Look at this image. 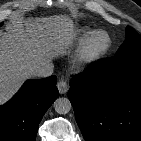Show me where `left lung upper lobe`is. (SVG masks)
<instances>
[{"label":"left lung upper lobe","instance_id":"5c2ea615","mask_svg":"<svg viewBox=\"0 0 141 141\" xmlns=\"http://www.w3.org/2000/svg\"><path fill=\"white\" fill-rule=\"evenodd\" d=\"M141 52V36L131 27L126 29L125 42L116 52L115 57Z\"/></svg>","mask_w":141,"mask_h":141}]
</instances>
